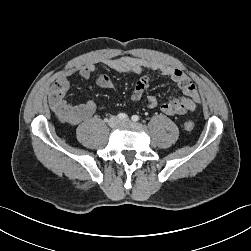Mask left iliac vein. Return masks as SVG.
Listing matches in <instances>:
<instances>
[{
	"label": "left iliac vein",
	"instance_id": "1",
	"mask_svg": "<svg viewBox=\"0 0 251 251\" xmlns=\"http://www.w3.org/2000/svg\"><path fill=\"white\" fill-rule=\"evenodd\" d=\"M129 120L128 119H125V120H122L121 123H128Z\"/></svg>",
	"mask_w": 251,
	"mask_h": 251
}]
</instances>
